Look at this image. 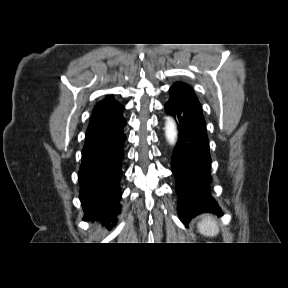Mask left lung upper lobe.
I'll list each match as a JSON object with an SVG mask.
<instances>
[{
  "instance_id": "left-lung-upper-lobe-1",
  "label": "left lung upper lobe",
  "mask_w": 288,
  "mask_h": 288,
  "mask_svg": "<svg viewBox=\"0 0 288 288\" xmlns=\"http://www.w3.org/2000/svg\"><path fill=\"white\" fill-rule=\"evenodd\" d=\"M183 90H188V91L193 92L190 86L183 82H177L170 88V91H183Z\"/></svg>"
}]
</instances>
